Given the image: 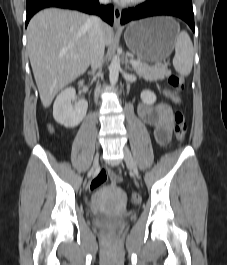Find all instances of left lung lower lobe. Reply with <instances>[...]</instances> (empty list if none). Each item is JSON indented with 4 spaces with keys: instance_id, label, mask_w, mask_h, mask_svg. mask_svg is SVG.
<instances>
[{
    "instance_id": "obj_1",
    "label": "left lung lower lobe",
    "mask_w": 227,
    "mask_h": 265,
    "mask_svg": "<svg viewBox=\"0 0 227 265\" xmlns=\"http://www.w3.org/2000/svg\"><path fill=\"white\" fill-rule=\"evenodd\" d=\"M157 15L179 17L194 31L192 0H147L135 8L124 10L121 15V24Z\"/></svg>"
}]
</instances>
